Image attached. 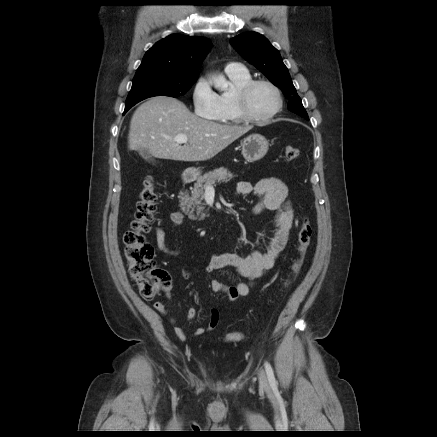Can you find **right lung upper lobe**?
<instances>
[{
    "label": "right lung upper lobe",
    "mask_w": 437,
    "mask_h": 437,
    "mask_svg": "<svg viewBox=\"0 0 437 437\" xmlns=\"http://www.w3.org/2000/svg\"><path fill=\"white\" fill-rule=\"evenodd\" d=\"M210 47L211 42L204 37L172 34L146 52L137 72L158 69L176 76L198 77Z\"/></svg>",
    "instance_id": "cb5924a9"
}]
</instances>
